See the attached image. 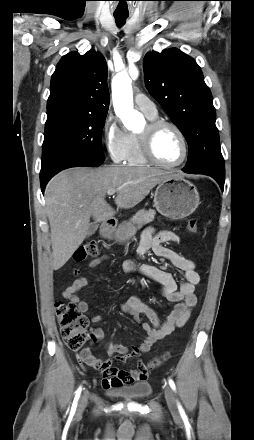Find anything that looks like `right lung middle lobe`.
Masks as SVG:
<instances>
[{
    "instance_id": "obj_1",
    "label": "right lung middle lobe",
    "mask_w": 254,
    "mask_h": 440,
    "mask_svg": "<svg viewBox=\"0 0 254 440\" xmlns=\"http://www.w3.org/2000/svg\"><path fill=\"white\" fill-rule=\"evenodd\" d=\"M107 114L62 107L47 111L40 180L73 166L103 163L101 132Z\"/></svg>"
}]
</instances>
